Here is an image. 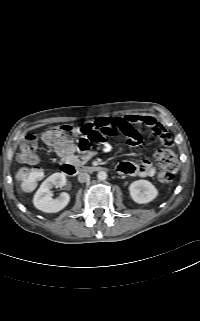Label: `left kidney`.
Listing matches in <instances>:
<instances>
[{
    "mask_svg": "<svg viewBox=\"0 0 200 321\" xmlns=\"http://www.w3.org/2000/svg\"><path fill=\"white\" fill-rule=\"evenodd\" d=\"M130 196L136 203L145 204L154 200L158 191L155 186L147 180H137L129 186Z\"/></svg>",
    "mask_w": 200,
    "mask_h": 321,
    "instance_id": "left-kidney-1",
    "label": "left kidney"
}]
</instances>
